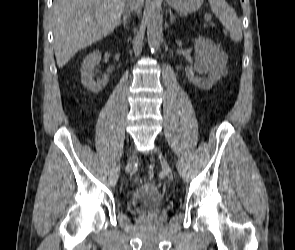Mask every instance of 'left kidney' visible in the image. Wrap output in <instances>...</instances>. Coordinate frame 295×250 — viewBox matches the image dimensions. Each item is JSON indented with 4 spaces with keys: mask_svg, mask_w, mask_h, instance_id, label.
<instances>
[{
    "mask_svg": "<svg viewBox=\"0 0 295 250\" xmlns=\"http://www.w3.org/2000/svg\"><path fill=\"white\" fill-rule=\"evenodd\" d=\"M195 64L185 68L189 80L201 89H210L223 75L226 67L227 57L220 51L212 40L198 37L194 41ZM195 73H208V79H202Z\"/></svg>",
    "mask_w": 295,
    "mask_h": 250,
    "instance_id": "obj_1",
    "label": "left kidney"
}]
</instances>
